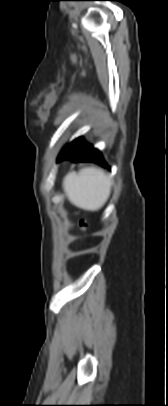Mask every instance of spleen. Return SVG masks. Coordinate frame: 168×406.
Listing matches in <instances>:
<instances>
[{"label": "spleen", "instance_id": "3e777b00", "mask_svg": "<svg viewBox=\"0 0 168 406\" xmlns=\"http://www.w3.org/2000/svg\"><path fill=\"white\" fill-rule=\"evenodd\" d=\"M111 180L103 170L84 168L71 172L63 180L64 192L75 206L87 211H98L111 193Z\"/></svg>", "mask_w": 168, "mask_h": 406}]
</instances>
